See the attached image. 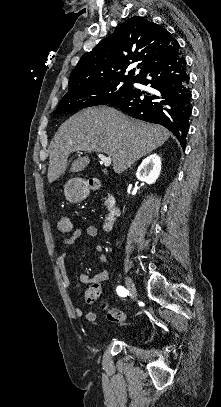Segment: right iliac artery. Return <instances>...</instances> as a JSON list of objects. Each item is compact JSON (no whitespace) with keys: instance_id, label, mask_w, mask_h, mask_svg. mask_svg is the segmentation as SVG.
<instances>
[{"instance_id":"right-iliac-artery-1","label":"right iliac artery","mask_w":221,"mask_h":407,"mask_svg":"<svg viewBox=\"0 0 221 407\" xmlns=\"http://www.w3.org/2000/svg\"><path fill=\"white\" fill-rule=\"evenodd\" d=\"M117 294L121 297H126L128 295V290H126L124 287L122 286H118L117 289Z\"/></svg>"}]
</instances>
